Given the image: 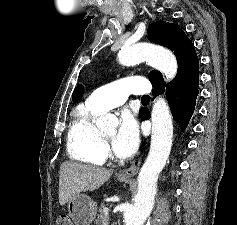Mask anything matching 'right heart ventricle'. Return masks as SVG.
I'll use <instances>...</instances> for the list:
<instances>
[{
	"label": "right heart ventricle",
	"instance_id": "obj_1",
	"mask_svg": "<svg viewBox=\"0 0 237 225\" xmlns=\"http://www.w3.org/2000/svg\"><path fill=\"white\" fill-rule=\"evenodd\" d=\"M103 111L96 108L89 99L75 113L68 132L67 150L77 161L102 165L106 156L102 134L95 126V118Z\"/></svg>",
	"mask_w": 237,
	"mask_h": 225
}]
</instances>
